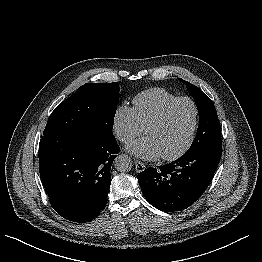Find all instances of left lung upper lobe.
<instances>
[{
    "label": "left lung upper lobe",
    "mask_w": 262,
    "mask_h": 262,
    "mask_svg": "<svg viewBox=\"0 0 262 262\" xmlns=\"http://www.w3.org/2000/svg\"><path fill=\"white\" fill-rule=\"evenodd\" d=\"M193 96L198 112L199 125L195 139L186 153L202 150H221V130L213 102L198 87L179 78Z\"/></svg>",
    "instance_id": "left-lung-upper-lobe-1"
}]
</instances>
